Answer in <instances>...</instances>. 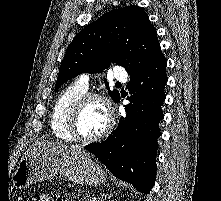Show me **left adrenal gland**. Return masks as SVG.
<instances>
[{
    "mask_svg": "<svg viewBox=\"0 0 221 201\" xmlns=\"http://www.w3.org/2000/svg\"><path fill=\"white\" fill-rule=\"evenodd\" d=\"M110 197H111V195H109V194H101L100 197L98 198V201L107 200Z\"/></svg>",
    "mask_w": 221,
    "mask_h": 201,
    "instance_id": "1",
    "label": "left adrenal gland"
}]
</instances>
